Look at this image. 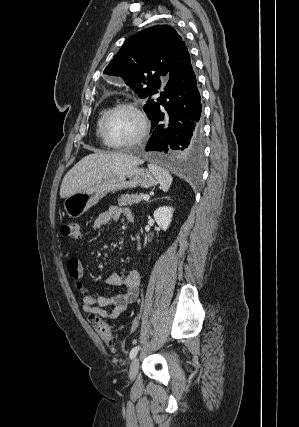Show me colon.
<instances>
[{
  "instance_id": "obj_1",
  "label": "colon",
  "mask_w": 299,
  "mask_h": 427,
  "mask_svg": "<svg viewBox=\"0 0 299 427\" xmlns=\"http://www.w3.org/2000/svg\"><path fill=\"white\" fill-rule=\"evenodd\" d=\"M60 233L64 238L71 240H78L81 237L80 226L75 222L63 224L61 226ZM93 324L97 333L107 344L111 345L116 342V338L108 323L98 317H95L93 319Z\"/></svg>"
}]
</instances>
